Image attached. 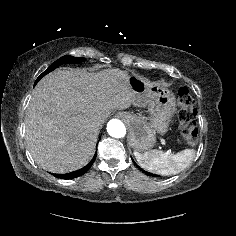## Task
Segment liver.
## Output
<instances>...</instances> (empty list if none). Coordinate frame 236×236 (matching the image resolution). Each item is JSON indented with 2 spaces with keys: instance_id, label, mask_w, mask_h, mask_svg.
Wrapping results in <instances>:
<instances>
[{
  "instance_id": "6515ba94",
  "label": "liver",
  "mask_w": 236,
  "mask_h": 236,
  "mask_svg": "<svg viewBox=\"0 0 236 236\" xmlns=\"http://www.w3.org/2000/svg\"><path fill=\"white\" fill-rule=\"evenodd\" d=\"M136 100L126 72L56 70L36 85L26 110V142L38 165L53 173L85 166L94 155L100 126L116 109ZM98 121L95 128L92 123Z\"/></svg>"
}]
</instances>
